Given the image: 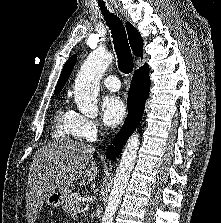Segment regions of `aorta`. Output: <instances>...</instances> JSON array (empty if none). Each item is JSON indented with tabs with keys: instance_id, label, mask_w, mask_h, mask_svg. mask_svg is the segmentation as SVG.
I'll list each match as a JSON object with an SVG mask.
<instances>
[{
	"instance_id": "1",
	"label": "aorta",
	"mask_w": 221,
	"mask_h": 223,
	"mask_svg": "<svg viewBox=\"0 0 221 223\" xmlns=\"http://www.w3.org/2000/svg\"><path fill=\"white\" fill-rule=\"evenodd\" d=\"M112 61L113 55L110 52L97 49L90 53L81 66L75 80L74 90L75 103L81 113L91 117L97 116L100 79ZM139 138V134L135 132L125 145L102 217V223L113 222L135 164L140 144Z\"/></svg>"
}]
</instances>
